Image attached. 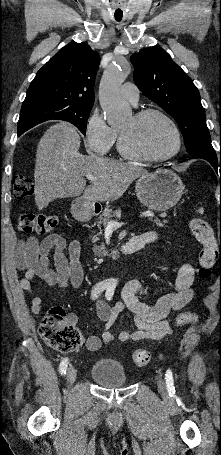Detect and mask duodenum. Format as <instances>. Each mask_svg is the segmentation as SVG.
<instances>
[{"instance_id":"obj_1","label":"duodenum","mask_w":221,"mask_h":455,"mask_svg":"<svg viewBox=\"0 0 221 455\" xmlns=\"http://www.w3.org/2000/svg\"><path fill=\"white\" fill-rule=\"evenodd\" d=\"M101 207L96 205L87 206V202H83L75 207V215L78 219L84 220L89 216L98 214ZM145 246V243L138 237L131 238L128 242L123 243L118 248L108 254V257H114L117 253L133 254Z\"/></svg>"}]
</instances>
